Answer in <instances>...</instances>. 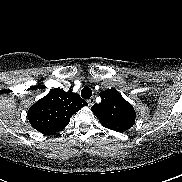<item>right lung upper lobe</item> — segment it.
I'll list each match as a JSON object with an SVG mask.
<instances>
[{
	"instance_id": "obj_1",
	"label": "right lung upper lobe",
	"mask_w": 182,
	"mask_h": 182,
	"mask_svg": "<svg viewBox=\"0 0 182 182\" xmlns=\"http://www.w3.org/2000/svg\"><path fill=\"white\" fill-rule=\"evenodd\" d=\"M88 105L77 93L51 90L28 110V120L37 131L49 135L61 131L74 113Z\"/></svg>"
}]
</instances>
